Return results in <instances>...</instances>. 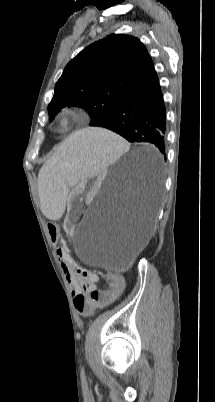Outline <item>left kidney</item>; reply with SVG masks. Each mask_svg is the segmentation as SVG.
Masks as SVG:
<instances>
[{
	"label": "left kidney",
	"instance_id": "obj_1",
	"mask_svg": "<svg viewBox=\"0 0 215 402\" xmlns=\"http://www.w3.org/2000/svg\"><path fill=\"white\" fill-rule=\"evenodd\" d=\"M105 176V171L103 169H98L94 175H86L82 179V184H76L73 191L71 192L68 203L70 216H79L81 213V200H93L94 193H98L101 180ZM64 229H68L67 233L72 235L74 233L73 229L77 228L76 220H64Z\"/></svg>",
	"mask_w": 215,
	"mask_h": 402
}]
</instances>
